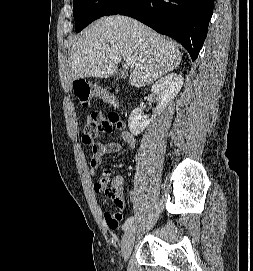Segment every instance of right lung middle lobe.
Wrapping results in <instances>:
<instances>
[{
	"instance_id": "1",
	"label": "right lung middle lobe",
	"mask_w": 253,
	"mask_h": 271,
	"mask_svg": "<svg viewBox=\"0 0 253 271\" xmlns=\"http://www.w3.org/2000/svg\"><path fill=\"white\" fill-rule=\"evenodd\" d=\"M124 2L125 0H73L76 32L102 16L116 14Z\"/></svg>"
}]
</instances>
